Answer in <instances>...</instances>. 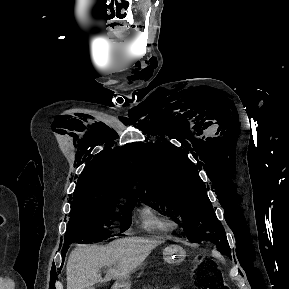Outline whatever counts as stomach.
Returning <instances> with one entry per match:
<instances>
[{
  "instance_id": "1",
  "label": "stomach",
  "mask_w": 289,
  "mask_h": 289,
  "mask_svg": "<svg viewBox=\"0 0 289 289\" xmlns=\"http://www.w3.org/2000/svg\"><path fill=\"white\" fill-rule=\"evenodd\" d=\"M186 256L185 250L180 245H170L163 250V259L170 264L181 263ZM131 282L129 276L119 279L113 289H130Z\"/></svg>"
}]
</instances>
